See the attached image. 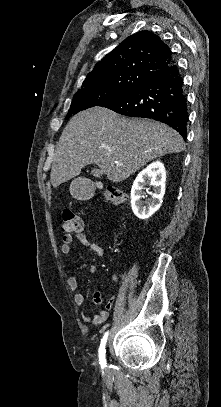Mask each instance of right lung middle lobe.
Segmentation results:
<instances>
[{"label": "right lung middle lobe", "mask_w": 221, "mask_h": 407, "mask_svg": "<svg viewBox=\"0 0 221 407\" xmlns=\"http://www.w3.org/2000/svg\"><path fill=\"white\" fill-rule=\"evenodd\" d=\"M136 86L138 85L126 87L93 86L78 90L73 97L66 119H68L72 114H76L81 110L93 106H102L107 102L113 101L125 95Z\"/></svg>", "instance_id": "dd1d6c3e"}]
</instances>
